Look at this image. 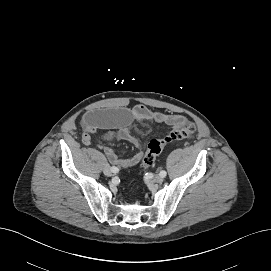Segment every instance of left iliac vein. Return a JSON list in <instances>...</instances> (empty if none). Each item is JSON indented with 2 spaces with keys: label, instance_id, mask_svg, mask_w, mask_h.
<instances>
[{
  "label": "left iliac vein",
  "instance_id": "obj_1",
  "mask_svg": "<svg viewBox=\"0 0 271 271\" xmlns=\"http://www.w3.org/2000/svg\"><path fill=\"white\" fill-rule=\"evenodd\" d=\"M163 180H164V177H162L160 174H158V175H156V176L154 177V181H155L156 183H162Z\"/></svg>",
  "mask_w": 271,
  "mask_h": 271
}]
</instances>
